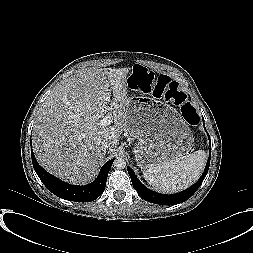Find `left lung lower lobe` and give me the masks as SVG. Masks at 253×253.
Here are the masks:
<instances>
[{
  "instance_id": "left-lung-lower-lobe-1",
  "label": "left lung lower lobe",
  "mask_w": 253,
  "mask_h": 253,
  "mask_svg": "<svg viewBox=\"0 0 253 253\" xmlns=\"http://www.w3.org/2000/svg\"><path fill=\"white\" fill-rule=\"evenodd\" d=\"M210 157H211V153L209 154L205 170L202 176L200 177V179L190 188L173 195H164V194H160V193L149 190L137 179L135 173L130 167H127V169L131 177L133 187L141 198L155 204L176 205L189 199L196 192L199 186L202 184L209 169Z\"/></svg>"
}]
</instances>
